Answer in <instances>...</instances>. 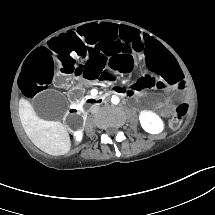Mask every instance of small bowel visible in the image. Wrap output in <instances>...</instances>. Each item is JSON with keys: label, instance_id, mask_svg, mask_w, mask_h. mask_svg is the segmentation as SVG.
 <instances>
[{"label": "small bowel", "instance_id": "c3829d8e", "mask_svg": "<svg viewBox=\"0 0 215 215\" xmlns=\"http://www.w3.org/2000/svg\"><path fill=\"white\" fill-rule=\"evenodd\" d=\"M123 92H127V90H123ZM136 93H137V91H136V89L135 88H132L131 89V95H136Z\"/></svg>", "mask_w": 215, "mask_h": 215}]
</instances>
